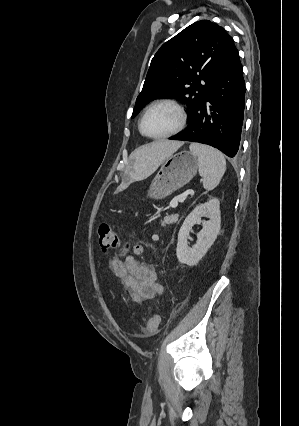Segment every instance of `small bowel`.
<instances>
[{
	"instance_id": "1",
	"label": "small bowel",
	"mask_w": 299,
	"mask_h": 426,
	"mask_svg": "<svg viewBox=\"0 0 299 426\" xmlns=\"http://www.w3.org/2000/svg\"><path fill=\"white\" fill-rule=\"evenodd\" d=\"M109 266L136 302L152 299L162 292L157 272L151 264L140 262L134 256L125 259L114 256Z\"/></svg>"
}]
</instances>
